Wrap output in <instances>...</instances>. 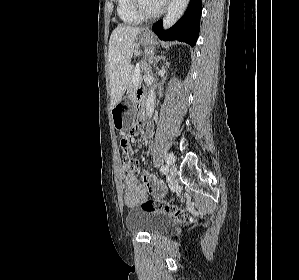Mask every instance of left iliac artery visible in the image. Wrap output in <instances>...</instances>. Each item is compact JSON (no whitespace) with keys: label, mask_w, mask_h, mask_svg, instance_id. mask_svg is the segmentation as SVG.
Segmentation results:
<instances>
[{"label":"left iliac artery","mask_w":299,"mask_h":280,"mask_svg":"<svg viewBox=\"0 0 299 280\" xmlns=\"http://www.w3.org/2000/svg\"><path fill=\"white\" fill-rule=\"evenodd\" d=\"M165 160L167 164H172L175 161V157L173 154L169 153L166 155Z\"/></svg>","instance_id":"obj_1"}]
</instances>
